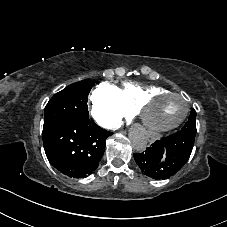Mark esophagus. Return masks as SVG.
Wrapping results in <instances>:
<instances>
[{"label": "esophagus", "mask_w": 227, "mask_h": 227, "mask_svg": "<svg viewBox=\"0 0 227 227\" xmlns=\"http://www.w3.org/2000/svg\"><path fill=\"white\" fill-rule=\"evenodd\" d=\"M156 142V137L154 135H149L146 140L147 146H152Z\"/></svg>", "instance_id": "34e87169"}]
</instances>
